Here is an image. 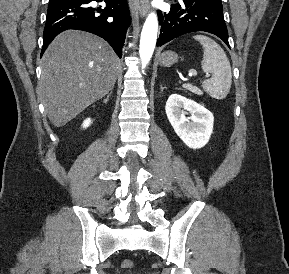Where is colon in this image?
Masks as SVG:
<instances>
[{
    "label": "colon",
    "mask_w": 289,
    "mask_h": 274,
    "mask_svg": "<svg viewBox=\"0 0 289 274\" xmlns=\"http://www.w3.org/2000/svg\"><path fill=\"white\" fill-rule=\"evenodd\" d=\"M133 266H134V263H133V261L132 260H124L123 262H122V268L123 269H126V270H128V269H131V268H133Z\"/></svg>",
    "instance_id": "1"
}]
</instances>
